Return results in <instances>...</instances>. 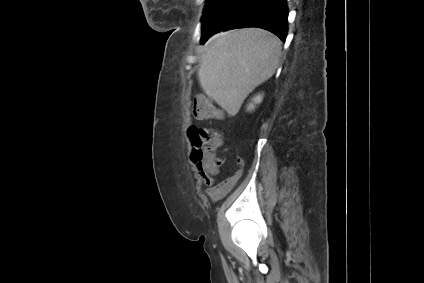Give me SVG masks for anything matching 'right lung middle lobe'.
I'll return each instance as SVG.
<instances>
[{
  "label": "right lung middle lobe",
  "instance_id": "right-lung-middle-lobe-1",
  "mask_svg": "<svg viewBox=\"0 0 424 283\" xmlns=\"http://www.w3.org/2000/svg\"><path fill=\"white\" fill-rule=\"evenodd\" d=\"M228 0H207L203 17H202V28H204L208 22L226 5Z\"/></svg>",
  "mask_w": 424,
  "mask_h": 283
}]
</instances>
